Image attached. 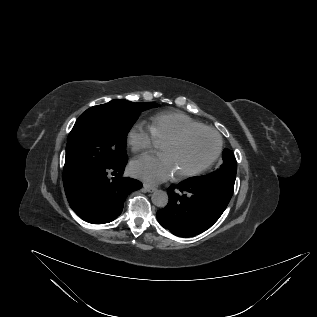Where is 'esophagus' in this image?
<instances>
[{
  "label": "esophagus",
  "mask_w": 317,
  "mask_h": 317,
  "mask_svg": "<svg viewBox=\"0 0 317 317\" xmlns=\"http://www.w3.org/2000/svg\"><path fill=\"white\" fill-rule=\"evenodd\" d=\"M143 186H144V190H145L146 192H153V191L156 190V187H155V186L150 185V184H147V183H144Z\"/></svg>",
  "instance_id": "1"
}]
</instances>
